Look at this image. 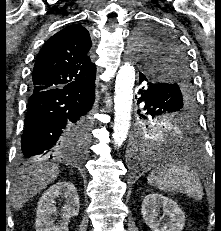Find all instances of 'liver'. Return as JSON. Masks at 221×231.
I'll list each match as a JSON object with an SVG mask.
<instances>
[{
  "instance_id": "6515ba94",
  "label": "liver",
  "mask_w": 221,
  "mask_h": 231,
  "mask_svg": "<svg viewBox=\"0 0 221 231\" xmlns=\"http://www.w3.org/2000/svg\"><path fill=\"white\" fill-rule=\"evenodd\" d=\"M21 169L11 186L10 199L13 208L18 211L31 197L45 189L50 183L56 180L59 174V167L55 163L41 162Z\"/></svg>"
}]
</instances>
